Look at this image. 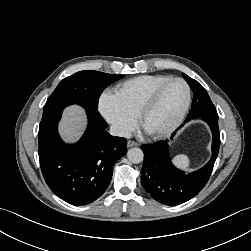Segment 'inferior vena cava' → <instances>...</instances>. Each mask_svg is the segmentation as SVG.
Returning a JSON list of instances; mask_svg holds the SVG:
<instances>
[{
	"mask_svg": "<svg viewBox=\"0 0 251 251\" xmlns=\"http://www.w3.org/2000/svg\"><path fill=\"white\" fill-rule=\"evenodd\" d=\"M109 132L112 136H119V137H125V138L131 137V133L127 129L118 125H111Z\"/></svg>",
	"mask_w": 251,
	"mask_h": 251,
	"instance_id": "1",
	"label": "inferior vena cava"
}]
</instances>
